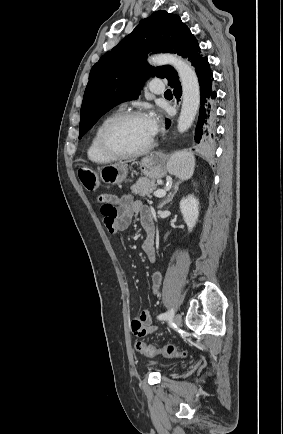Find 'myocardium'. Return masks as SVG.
Masks as SVG:
<instances>
[{
  "mask_svg": "<svg viewBox=\"0 0 283 434\" xmlns=\"http://www.w3.org/2000/svg\"><path fill=\"white\" fill-rule=\"evenodd\" d=\"M136 118H146V115L141 111H128V112H122L118 113L112 118H110L101 128L98 134V144L101 149V151L113 158V159H128V158H135L142 156L146 153H148L154 146V138L150 140V142L143 147L142 149H139L137 151L132 152H126L121 151L118 148H116L112 141H111V134L113 130L119 126L120 124Z\"/></svg>",
  "mask_w": 283,
  "mask_h": 434,
  "instance_id": "myocardium-1",
  "label": "myocardium"
}]
</instances>
